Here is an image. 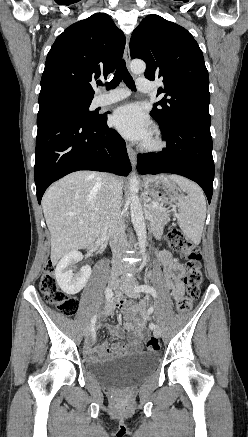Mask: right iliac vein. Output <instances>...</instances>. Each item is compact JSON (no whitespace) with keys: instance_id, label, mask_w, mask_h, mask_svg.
<instances>
[{"instance_id":"right-iliac-vein-1","label":"right iliac vein","mask_w":248,"mask_h":437,"mask_svg":"<svg viewBox=\"0 0 248 437\" xmlns=\"http://www.w3.org/2000/svg\"><path fill=\"white\" fill-rule=\"evenodd\" d=\"M108 285H109L111 288H115V287H116V285H117V282H116V276H111V277L109 278V280H108ZM90 332H91V327H90V326H87V327L85 328V330H84V335H85V337H88V336L90 335Z\"/></svg>"}]
</instances>
